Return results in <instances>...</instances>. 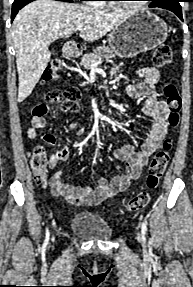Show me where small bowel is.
I'll return each instance as SVG.
<instances>
[{"label":"small bowel","mask_w":193,"mask_h":287,"mask_svg":"<svg viewBox=\"0 0 193 287\" xmlns=\"http://www.w3.org/2000/svg\"><path fill=\"white\" fill-rule=\"evenodd\" d=\"M115 66V69H118ZM141 79L139 84L130 85L126 93L130 98L137 99L146 97L143 107V114L152 120L145 140L140 148H135L132 144L114 150L115 158L124 162V170L113 176L110 180L101 178L96 186L75 187L62 180V170L55 171L50 178V187L54 196L65 198L75 204L97 205L109 197L125 190L131 181L140 176L142 168L147 164L149 157L161 147L168 131V108L161 98V93L157 89L160 73L153 67H144L137 71ZM68 128L75 132L77 136L84 134V129L79 128L75 122H69ZM27 135L34 139L39 135L38 126L32 122ZM48 148L54 147L56 137L52 133L43 136ZM69 148L64 147L53 153L50 158V166L55 167L58 163L69 158Z\"/></svg>","instance_id":"small-bowel-1"}]
</instances>
